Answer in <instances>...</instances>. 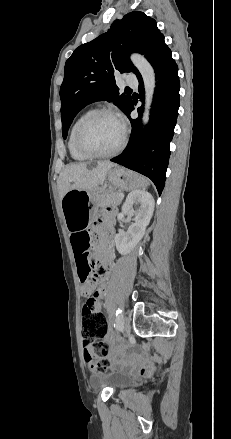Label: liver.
<instances>
[{"label":"liver","instance_id":"6515ba94","mask_svg":"<svg viewBox=\"0 0 231 439\" xmlns=\"http://www.w3.org/2000/svg\"><path fill=\"white\" fill-rule=\"evenodd\" d=\"M115 165L109 161H101L93 169L87 163H72L67 165L58 178L60 200L72 189L92 190L101 185L110 169Z\"/></svg>","mask_w":231,"mask_h":439}]
</instances>
